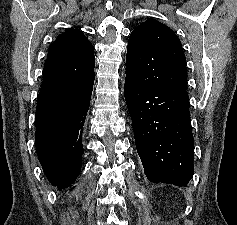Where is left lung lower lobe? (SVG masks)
<instances>
[{"label":"left lung lower lobe","mask_w":237,"mask_h":225,"mask_svg":"<svg viewBox=\"0 0 237 225\" xmlns=\"http://www.w3.org/2000/svg\"><path fill=\"white\" fill-rule=\"evenodd\" d=\"M124 94L146 177L187 186L194 153L187 91L142 86L126 72Z\"/></svg>","instance_id":"obj_1"}]
</instances>
